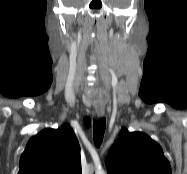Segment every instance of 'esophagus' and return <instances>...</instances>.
I'll return each instance as SVG.
<instances>
[{
  "label": "esophagus",
  "mask_w": 187,
  "mask_h": 174,
  "mask_svg": "<svg viewBox=\"0 0 187 174\" xmlns=\"http://www.w3.org/2000/svg\"><path fill=\"white\" fill-rule=\"evenodd\" d=\"M95 112L99 118L103 117L105 114V110L103 108H96Z\"/></svg>",
  "instance_id": "esophagus-1"
}]
</instances>
